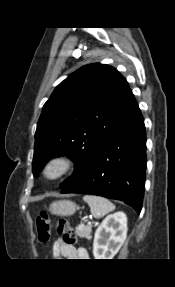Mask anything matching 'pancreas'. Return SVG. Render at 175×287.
Listing matches in <instances>:
<instances>
[{"label":"pancreas","mask_w":175,"mask_h":287,"mask_svg":"<svg viewBox=\"0 0 175 287\" xmlns=\"http://www.w3.org/2000/svg\"><path fill=\"white\" fill-rule=\"evenodd\" d=\"M92 226L91 225H87V226H83L82 228H77L76 229V234L80 237V238H86L88 240L91 239V231H92Z\"/></svg>","instance_id":"1"}]
</instances>
